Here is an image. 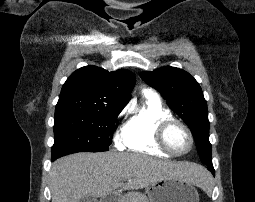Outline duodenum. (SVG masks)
<instances>
[{
  "mask_svg": "<svg viewBox=\"0 0 255 202\" xmlns=\"http://www.w3.org/2000/svg\"><path fill=\"white\" fill-rule=\"evenodd\" d=\"M99 202H116V197L111 193L105 194L100 198Z\"/></svg>",
  "mask_w": 255,
  "mask_h": 202,
  "instance_id": "duodenum-1",
  "label": "duodenum"
}]
</instances>
